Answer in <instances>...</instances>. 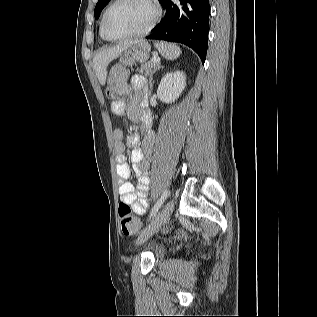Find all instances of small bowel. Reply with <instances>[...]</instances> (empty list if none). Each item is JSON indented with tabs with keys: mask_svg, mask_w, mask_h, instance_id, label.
<instances>
[{
	"mask_svg": "<svg viewBox=\"0 0 317 317\" xmlns=\"http://www.w3.org/2000/svg\"><path fill=\"white\" fill-rule=\"evenodd\" d=\"M133 96L126 105L122 101H113L111 110L117 116L126 115L130 120L139 122L144 130V139L141 148L136 147L139 137L132 134L124 141V132L121 128H115L113 131L114 151L116 154V170L120 177L119 195L120 200L131 206L133 212L137 215H143L148 206L149 190V161L145 158L152 153L154 134L150 130L151 119L146 111L147 103V83L141 75H135L131 79ZM131 148L130 160L132 169L137 175V184L126 181L130 178L132 169L125 159V149Z\"/></svg>",
	"mask_w": 317,
	"mask_h": 317,
	"instance_id": "small-bowel-1",
	"label": "small bowel"
}]
</instances>
